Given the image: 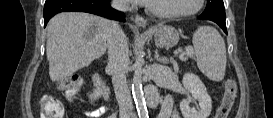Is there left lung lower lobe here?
Returning <instances> with one entry per match:
<instances>
[{
	"label": "left lung lower lobe",
	"mask_w": 273,
	"mask_h": 118,
	"mask_svg": "<svg viewBox=\"0 0 273 118\" xmlns=\"http://www.w3.org/2000/svg\"><path fill=\"white\" fill-rule=\"evenodd\" d=\"M200 19L211 20V21L217 23L223 29V31L227 34V29H226L225 22H223V21H217V20H213V19H205V18H202V17H200Z\"/></svg>",
	"instance_id": "1"
}]
</instances>
